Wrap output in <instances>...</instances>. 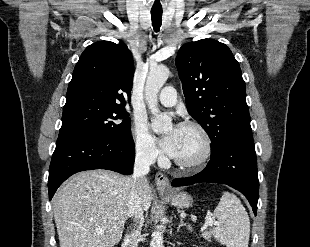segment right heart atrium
I'll use <instances>...</instances> for the list:
<instances>
[{
    "mask_svg": "<svg viewBox=\"0 0 310 247\" xmlns=\"http://www.w3.org/2000/svg\"><path fill=\"white\" fill-rule=\"evenodd\" d=\"M136 153L142 159L152 162L160 157L154 137L143 121H136L133 128Z\"/></svg>",
    "mask_w": 310,
    "mask_h": 247,
    "instance_id": "1",
    "label": "right heart atrium"
}]
</instances>
